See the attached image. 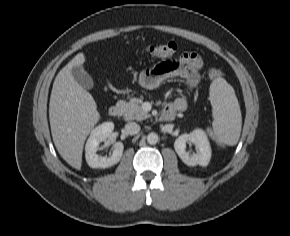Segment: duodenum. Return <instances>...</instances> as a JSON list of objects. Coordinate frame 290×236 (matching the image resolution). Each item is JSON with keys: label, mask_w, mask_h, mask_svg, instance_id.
Instances as JSON below:
<instances>
[{"label": "duodenum", "mask_w": 290, "mask_h": 236, "mask_svg": "<svg viewBox=\"0 0 290 236\" xmlns=\"http://www.w3.org/2000/svg\"><path fill=\"white\" fill-rule=\"evenodd\" d=\"M175 109H164L161 114L163 120H172L176 115ZM108 114L111 117H119L122 114V108L119 105H112L108 110Z\"/></svg>", "instance_id": "duodenum-1"}]
</instances>
